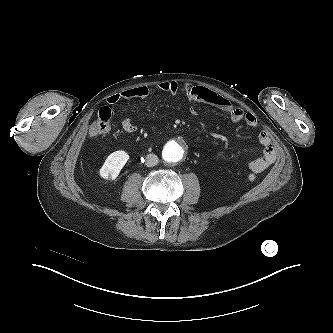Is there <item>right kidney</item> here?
<instances>
[{"label":"right kidney","instance_id":"obj_1","mask_svg":"<svg viewBox=\"0 0 333 333\" xmlns=\"http://www.w3.org/2000/svg\"><path fill=\"white\" fill-rule=\"evenodd\" d=\"M128 159L129 155L125 151L119 150L111 153L99 170L100 177L106 180L116 179Z\"/></svg>","mask_w":333,"mask_h":333}]
</instances>
